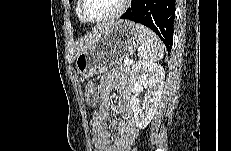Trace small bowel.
I'll list each match as a JSON object with an SVG mask.
<instances>
[{"instance_id": "obj_1", "label": "small bowel", "mask_w": 231, "mask_h": 151, "mask_svg": "<svg viewBox=\"0 0 231 151\" xmlns=\"http://www.w3.org/2000/svg\"><path fill=\"white\" fill-rule=\"evenodd\" d=\"M112 91L118 93L116 108L121 118H113L110 114ZM98 93V111L92 121L95 148L99 151H129L139 133L130 103V82L116 72L105 74L100 80ZM107 121L111 122L117 136H111Z\"/></svg>"}]
</instances>
